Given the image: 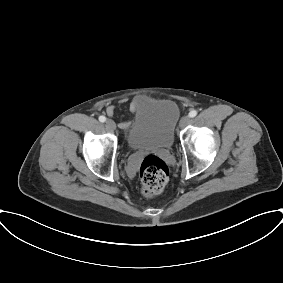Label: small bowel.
I'll use <instances>...</instances> for the list:
<instances>
[{"label":"small bowel","instance_id":"small-bowel-1","mask_svg":"<svg viewBox=\"0 0 283 283\" xmlns=\"http://www.w3.org/2000/svg\"><path fill=\"white\" fill-rule=\"evenodd\" d=\"M143 99L137 98V99H133L130 103H129V110L131 112L136 111V109L142 104ZM106 113L109 117H113L115 114V107L113 105H110L106 108ZM131 126V122L129 121H122L119 123V128L121 130H128Z\"/></svg>","mask_w":283,"mask_h":283}]
</instances>
